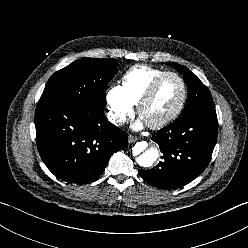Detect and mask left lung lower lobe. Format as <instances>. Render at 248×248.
Here are the masks:
<instances>
[{
  "label": "left lung lower lobe",
  "instance_id": "0a47b994",
  "mask_svg": "<svg viewBox=\"0 0 248 248\" xmlns=\"http://www.w3.org/2000/svg\"><path fill=\"white\" fill-rule=\"evenodd\" d=\"M216 111L174 121L152 140L160 146L162 161L140 176L160 189L182 187L194 180L209 164L217 138Z\"/></svg>",
  "mask_w": 248,
  "mask_h": 248
}]
</instances>
